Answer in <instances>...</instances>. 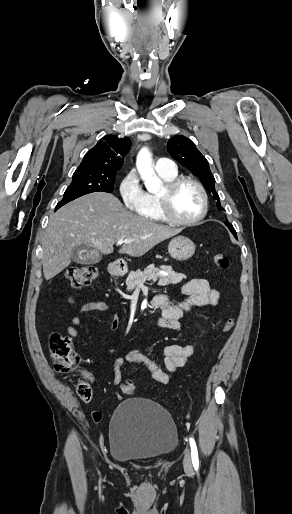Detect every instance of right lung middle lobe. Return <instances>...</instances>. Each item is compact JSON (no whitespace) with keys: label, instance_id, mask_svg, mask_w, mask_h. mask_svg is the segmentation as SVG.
<instances>
[{"label":"right lung middle lobe","instance_id":"1","mask_svg":"<svg viewBox=\"0 0 292 514\" xmlns=\"http://www.w3.org/2000/svg\"><path fill=\"white\" fill-rule=\"evenodd\" d=\"M115 176L74 175L67 187L63 199L57 204L56 210L64 204L92 192L111 193L114 188Z\"/></svg>","mask_w":292,"mask_h":514}]
</instances>
